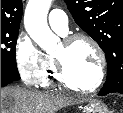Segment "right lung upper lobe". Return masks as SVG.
I'll return each instance as SVG.
<instances>
[{
	"label": "right lung upper lobe",
	"mask_w": 123,
	"mask_h": 113,
	"mask_svg": "<svg viewBox=\"0 0 123 113\" xmlns=\"http://www.w3.org/2000/svg\"><path fill=\"white\" fill-rule=\"evenodd\" d=\"M22 0H1V32L19 31Z\"/></svg>",
	"instance_id": "cb5924a9"
}]
</instances>
